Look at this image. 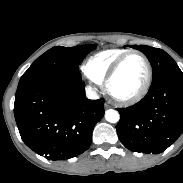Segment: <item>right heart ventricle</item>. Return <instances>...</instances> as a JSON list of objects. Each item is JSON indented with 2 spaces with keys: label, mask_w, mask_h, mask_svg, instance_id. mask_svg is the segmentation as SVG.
Here are the masks:
<instances>
[{
  "label": "right heart ventricle",
  "mask_w": 183,
  "mask_h": 183,
  "mask_svg": "<svg viewBox=\"0 0 183 183\" xmlns=\"http://www.w3.org/2000/svg\"><path fill=\"white\" fill-rule=\"evenodd\" d=\"M127 51L128 49L123 48L102 50L91 56L87 63L91 70L103 79L111 65Z\"/></svg>",
  "instance_id": "1"
}]
</instances>
